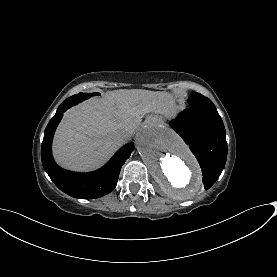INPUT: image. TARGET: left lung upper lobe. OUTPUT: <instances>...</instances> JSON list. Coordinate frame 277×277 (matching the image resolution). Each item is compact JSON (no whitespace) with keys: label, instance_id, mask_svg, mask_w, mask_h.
<instances>
[{"label":"left lung upper lobe","instance_id":"5c2ea615","mask_svg":"<svg viewBox=\"0 0 277 277\" xmlns=\"http://www.w3.org/2000/svg\"><path fill=\"white\" fill-rule=\"evenodd\" d=\"M188 103L190 107L186 110L218 113L212 101L197 92L190 94Z\"/></svg>","mask_w":277,"mask_h":277}]
</instances>
